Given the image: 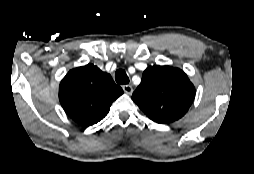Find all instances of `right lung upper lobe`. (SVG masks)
<instances>
[{"mask_svg": "<svg viewBox=\"0 0 254 174\" xmlns=\"http://www.w3.org/2000/svg\"><path fill=\"white\" fill-rule=\"evenodd\" d=\"M122 94V88L112 77L93 64L70 70L59 86L64 111L85 127L102 120L112 102Z\"/></svg>", "mask_w": 254, "mask_h": 174, "instance_id": "obj_1", "label": "right lung upper lobe"}]
</instances>
